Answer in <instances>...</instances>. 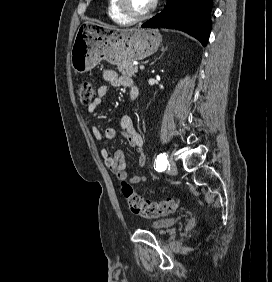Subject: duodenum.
<instances>
[{"label":"duodenum","instance_id":"obj_1","mask_svg":"<svg viewBox=\"0 0 272 282\" xmlns=\"http://www.w3.org/2000/svg\"><path fill=\"white\" fill-rule=\"evenodd\" d=\"M138 94H139L138 87L136 85L131 86L130 97L132 101H134L138 97Z\"/></svg>","mask_w":272,"mask_h":282}]
</instances>
